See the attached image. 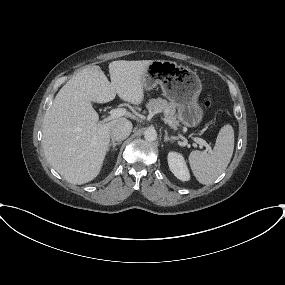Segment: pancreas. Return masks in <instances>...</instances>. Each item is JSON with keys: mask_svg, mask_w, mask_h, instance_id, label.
<instances>
[{"mask_svg": "<svg viewBox=\"0 0 285 285\" xmlns=\"http://www.w3.org/2000/svg\"><path fill=\"white\" fill-rule=\"evenodd\" d=\"M146 107L150 111H162L164 113L166 121L169 123L170 127L173 129H177L179 126V121L176 117V106L172 102H168L165 99L157 98L150 99L146 104Z\"/></svg>", "mask_w": 285, "mask_h": 285, "instance_id": "obj_1", "label": "pancreas"}]
</instances>
